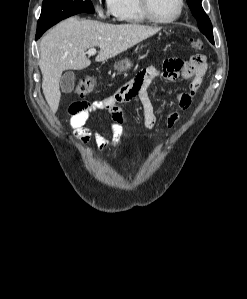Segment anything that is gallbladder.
Here are the masks:
<instances>
[{
    "instance_id": "1",
    "label": "gallbladder",
    "mask_w": 247,
    "mask_h": 299,
    "mask_svg": "<svg viewBox=\"0 0 247 299\" xmlns=\"http://www.w3.org/2000/svg\"><path fill=\"white\" fill-rule=\"evenodd\" d=\"M75 86V74L73 71H66L60 78L62 92L71 93Z\"/></svg>"
}]
</instances>
